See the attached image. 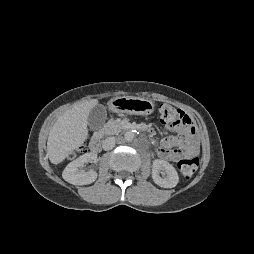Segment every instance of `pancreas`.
<instances>
[{"label":"pancreas","instance_id":"1","mask_svg":"<svg viewBox=\"0 0 254 254\" xmlns=\"http://www.w3.org/2000/svg\"><path fill=\"white\" fill-rule=\"evenodd\" d=\"M107 125L111 128L112 132H119L122 129L121 123L118 120H110Z\"/></svg>","mask_w":254,"mask_h":254}]
</instances>
